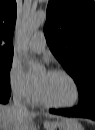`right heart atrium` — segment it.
<instances>
[{
  "label": "right heart atrium",
  "mask_w": 95,
  "mask_h": 130,
  "mask_svg": "<svg viewBox=\"0 0 95 130\" xmlns=\"http://www.w3.org/2000/svg\"><path fill=\"white\" fill-rule=\"evenodd\" d=\"M9 86L12 94L24 101H29L36 93V85L23 72L19 65H13L9 76Z\"/></svg>",
  "instance_id": "d8ad5b80"
}]
</instances>
